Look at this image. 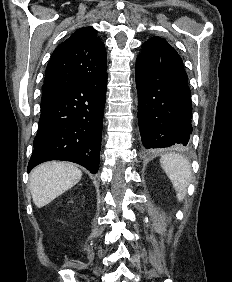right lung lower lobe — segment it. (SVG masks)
Masks as SVG:
<instances>
[{
    "label": "right lung lower lobe",
    "mask_w": 232,
    "mask_h": 282,
    "mask_svg": "<svg viewBox=\"0 0 232 282\" xmlns=\"http://www.w3.org/2000/svg\"><path fill=\"white\" fill-rule=\"evenodd\" d=\"M106 89L107 73L70 87L41 112L28 172L49 160L98 172Z\"/></svg>",
    "instance_id": "right-lung-lower-lobe-1"
}]
</instances>
